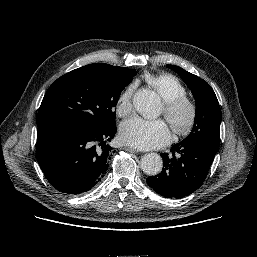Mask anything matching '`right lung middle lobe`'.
I'll list each match as a JSON object with an SVG mask.
<instances>
[{
	"label": "right lung middle lobe",
	"instance_id": "right-lung-middle-lobe-1",
	"mask_svg": "<svg viewBox=\"0 0 257 257\" xmlns=\"http://www.w3.org/2000/svg\"><path fill=\"white\" fill-rule=\"evenodd\" d=\"M136 74L126 67L95 63L61 76L42 100L37 125L54 120H74L100 129L116 125L119 96Z\"/></svg>",
	"mask_w": 257,
	"mask_h": 257
}]
</instances>
